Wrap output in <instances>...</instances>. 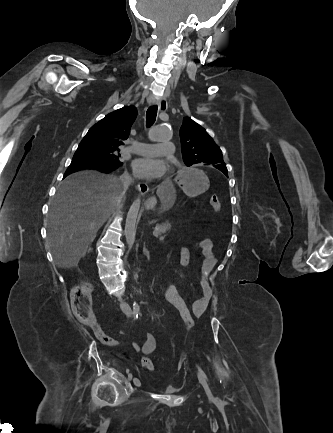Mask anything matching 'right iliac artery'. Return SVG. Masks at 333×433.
<instances>
[{"instance_id":"obj_1","label":"right iliac artery","mask_w":333,"mask_h":433,"mask_svg":"<svg viewBox=\"0 0 333 433\" xmlns=\"http://www.w3.org/2000/svg\"><path fill=\"white\" fill-rule=\"evenodd\" d=\"M136 317H138V315H137ZM126 372L128 373V372H129V369H126Z\"/></svg>"}]
</instances>
